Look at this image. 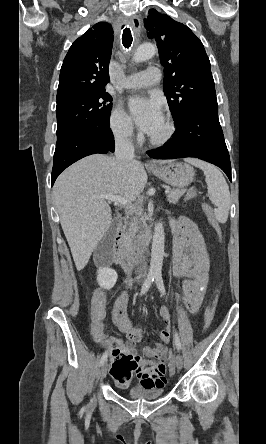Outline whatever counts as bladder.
<instances>
[{"label": "bladder", "instance_id": "31cf9c89", "mask_svg": "<svg viewBox=\"0 0 266 444\" xmlns=\"http://www.w3.org/2000/svg\"><path fill=\"white\" fill-rule=\"evenodd\" d=\"M163 394H164L163 389H144V388H138V387L131 388L127 393V395L130 398L146 399V400L160 398Z\"/></svg>", "mask_w": 266, "mask_h": 444}]
</instances>
